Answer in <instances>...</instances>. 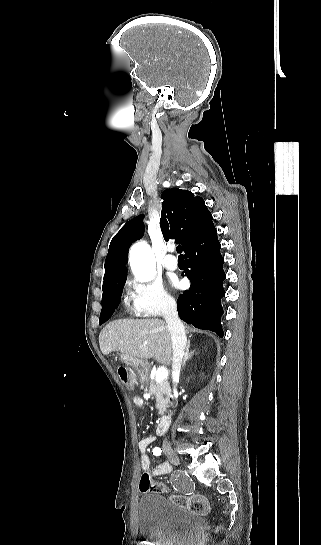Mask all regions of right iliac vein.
Returning <instances> with one entry per match:
<instances>
[{
  "label": "right iliac vein",
  "instance_id": "obj_1",
  "mask_svg": "<svg viewBox=\"0 0 321 545\" xmlns=\"http://www.w3.org/2000/svg\"><path fill=\"white\" fill-rule=\"evenodd\" d=\"M164 454L166 455L168 460L173 465H179L180 464V459H179L178 455L173 451L172 448H170V447L164 448Z\"/></svg>",
  "mask_w": 321,
  "mask_h": 545
}]
</instances>
